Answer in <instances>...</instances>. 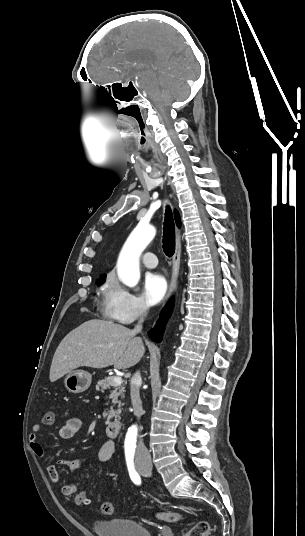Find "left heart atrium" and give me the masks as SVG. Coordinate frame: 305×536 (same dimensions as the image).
<instances>
[{
	"instance_id": "left-heart-atrium-1",
	"label": "left heart atrium",
	"mask_w": 305,
	"mask_h": 536,
	"mask_svg": "<svg viewBox=\"0 0 305 536\" xmlns=\"http://www.w3.org/2000/svg\"><path fill=\"white\" fill-rule=\"evenodd\" d=\"M144 296L152 304H158L167 291V283L163 276L156 273L146 274L143 281Z\"/></svg>"
}]
</instances>
